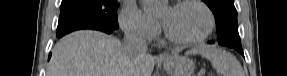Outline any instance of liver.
Returning <instances> with one entry per match:
<instances>
[{
	"instance_id": "1",
	"label": "liver",
	"mask_w": 287,
	"mask_h": 76,
	"mask_svg": "<svg viewBox=\"0 0 287 76\" xmlns=\"http://www.w3.org/2000/svg\"><path fill=\"white\" fill-rule=\"evenodd\" d=\"M172 55H176L173 53ZM155 59L146 54L129 59L115 37L79 30L63 37L54 47L47 76H151Z\"/></svg>"
}]
</instances>
